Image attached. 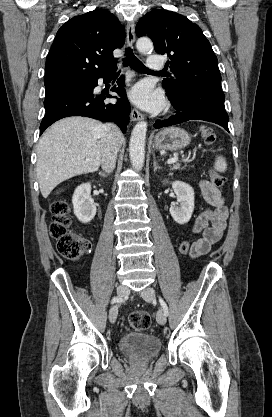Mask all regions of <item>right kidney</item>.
Returning a JSON list of instances; mask_svg holds the SVG:
<instances>
[{
  "mask_svg": "<svg viewBox=\"0 0 272 417\" xmlns=\"http://www.w3.org/2000/svg\"><path fill=\"white\" fill-rule=\"evenodd\" d=\"M90 193L91 184L84 183L75 189L72 197L74 214L82 223L90 222L96 214V205Z\"/></svg>",
  "mask_w": 272,
  "mask_h": 417,
  "instance_id": "1",
  "label": "right kidney"
}]
</instances>
